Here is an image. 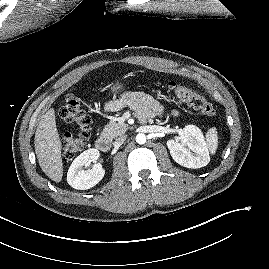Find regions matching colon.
Masks as SVG:
<instances>
[{"label": "colon", "mask_w": 269, "mask_h": 269, "mask_svg": "<svg viewBox=\"0 0 269 269\" xmlns=\"http://www.w3.org/2000/svg\"><path fill=\"white\" fill-rule=\"evenodd\" d=\"M168 89L177 98L186 102L204 116L212 117L215 115L213 105L198 92L172 81L168 83ZM59 115L65 122L76 125L80 130L77 136L66 134L62 140L64 157L73 159L84 149L90 137L92 120L75 95L66 96L59 109Z\"/></svg>", "instance_id": "colon-1"}]
</instances>
